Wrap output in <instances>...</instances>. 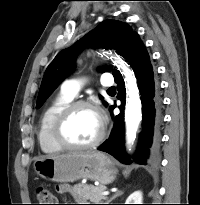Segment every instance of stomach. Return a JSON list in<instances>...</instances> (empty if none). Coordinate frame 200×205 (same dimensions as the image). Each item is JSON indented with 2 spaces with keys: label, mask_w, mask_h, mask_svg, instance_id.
<instances>
[{
  "label": "stomach",
  "mask_w": 200,
  "mask_h": 205,
  "mask_svg": "<svg viewBox=\"0 0 200 205\" xmlns=\"http://www.w3.org/2000/svg\"><path fill=\"white\" fill-rule=\"evenodd\" d=\"M34 170L40 177L56 182L86 178L103 185L111 183L117 174L114 161L100 152L41 157L35 160Z\"/></svg>",
  "instance_id": "stomach-1"
}]
</instances>
